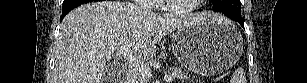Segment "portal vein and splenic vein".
Listing matches in <instances>:
<instances>
[{"instance_id":"1","label":"portal vein and splenic vein","mask_w":307,"mask_h":83,"mask_svg":"<svg viewBox=\"0 0 307 83\" xmlns=\"http://www.w3.org/2000/svg\"><path fill=\"white\" fill-rule=\"evenodd\" d=\"M118 56H122L127 62H129L143 77L149 78L151 77L152 73L150 67L146 64L140 62L137 58L132 56L128 49H121L117 52ZM166 81L170 82L174 78L172 75L166 76L164 78Z\"/></svg>"}]
</instances>
